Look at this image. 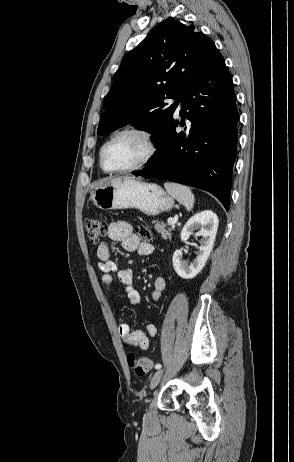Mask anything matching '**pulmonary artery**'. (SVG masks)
Returning <instances> with one entry per match:
<instances>
[{
	"instance_id": "1",
	"label": "pulmonary artery",
	"mask_w": 294,
	"mask_h": 462,
	"mask_svg": "<svg viewBox=\"0 0 294 462\" xmlns=\"http://www.w3.org/2000/svg\"><path fill=\"white\" fill-rule=\"evenodd\" d=\"M169 103H176L177 104V108H176V113L177 114L182 111V105H181V102L179 100L171 99V100H169Z\"/></svg>"
}]
</instances>
